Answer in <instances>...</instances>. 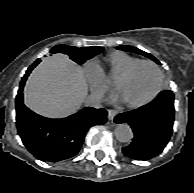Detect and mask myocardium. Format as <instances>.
<instances>
[{
	"label": "myocardium",
	"mask_w": 194,
	"mask_h": 193,
	"mask_svg": "<svg viewBox=\"0 0 194 193\" xmlns=\"http://www.w3.org/2000/svg\"><path fill=\"white\" fill-rule=\"evenodd\" d=\"M142 65H151L153 66L156 71L158 72L159 75V81H158V85L157 88L155 89V91L151 94V96H149L147 99L140 101V102H127L122 100L123 104L129 108H139L142 107L144 105H147L149 103H151L161 92L162 88H163V84H164V73L161 69V67L154 61L152 60H141L137 63H135L134 65H132L129 69H127L114 83V90L116 91V93H119V89L121 87V85L123 83H125L132 75L133 73Z\"/></svg>",
	"instance_id": "obj_1"
}]
</instances>
